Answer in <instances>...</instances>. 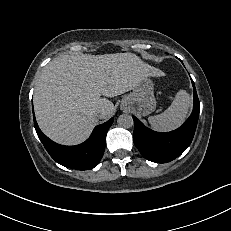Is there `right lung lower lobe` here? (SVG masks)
Wrapping results in <instances>:
<instances>
[{
    "label": "right lung lower lobe",
    "mask_w": 231,
    "mask_h": 231,
    "mask_svg": "<svg viewBox=\"0 0 231 231\" xmlns=\"http://www.w3.org/2000/svg\"><path fill=\"white\" fill-rule=\"evenodd\" d=\"M113 120L114 118H111L106 123L96 126L89 139L76 146H63L51 141L41 132L35 118L34 125L45 149L57 163L72 169L89 170L97 166L103 156L106 133Z\"/></svg>",
    "instance_id": "right-lung-lower-lobe-1"
}]
</instances>
